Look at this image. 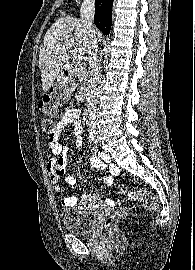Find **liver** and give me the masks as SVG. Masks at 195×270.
Here are the masks:
<instances>
[{"label": "liver", "instance_id": "1", "mask_svg": "<svg viewBox=\"0 0 195 270\" xmlns=\"http://www.w3.org/2000/svg\"><path fill=\"white\" fill-rule=\"evenodd\" d=\"M96 35L98 31L95 29ZM89 45V33L81 19L70 16L58 19L46 32L39 51V69L41 71L44 92L53 85L55 79L69 59V50L86 52Z\"/></svg>", "mask_w": 195, "mask_h": 270}]
</instances>
